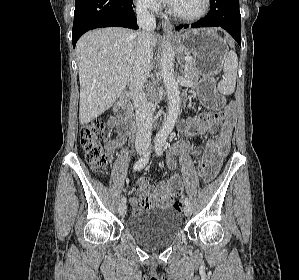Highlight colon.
I'll use <instances>...</instances> for the list:
<instances>
[{
  "label": "colon",
  "instance_id": "colon-1",
  "mask_svg": "<svg viewBox=\"0 0 299 280\" xmlns=\"http://www.w3.org/2000/svg\"><path fill=\"white\" fill-rule=\"evenodd\" d=\"M197 119L218 124L224 119V114L220 110H215L203 113ZM105 135L104 124L100 121L87 123L80 130V143L84 150L86 161L93 170L99 172H106L110 163V156L104 151L101 144ZM198 171L204 179H209L208 163L205 160H200L198 163ZM173 207L181 211L183 208L182 201H176Z\"/></svg>",
  "mask_w": 299,
  "mask_h": 280
}]
</instances>
